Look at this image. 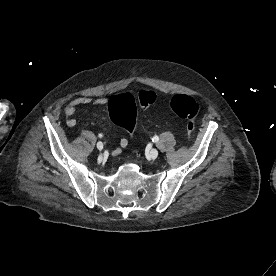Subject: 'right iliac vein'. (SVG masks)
Here are the masks:
<instances>
[{"label":"right iliac vein","instance_id":"obj_1","mask_svg":"<svg viewBox=\"0 0 276 276\" xmlns=\"http://www.w3.org/2000/svg\"><path fill=\"white\" fill-rule=\"evenodd\" d=\"M97 148H98V150H102L103 149V143L102 142H98L97 143Z\"/></svg>","mask_w":276,"mask_h":276}]
</instances>
